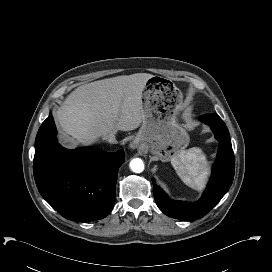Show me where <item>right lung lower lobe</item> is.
Listing matches in <instances>:
<instances>
[{
    "label": "right lung lower lobe",
    "mask_w": 272,
    "mask_h": 272,
    "mask_svg": "<svg viewBox=\"0 0 272 272\" xmlns=\"http://www.w3.org/2000/svg\"><path fill=\"white\" fill-rule=\"evenodd\" d=\"M124 160L123 150L63 148L50 112L36 136L33 172L40 194L57 212L66 219L89 222L111 212Z\"/></svg>",
    "instance_id": "obj_1"
}]
</instances>
